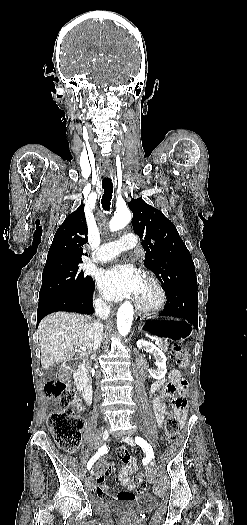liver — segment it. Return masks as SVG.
<instances>
[{"label":"liver","instance_id":"6515ba94","mask_svg":"<svg viewBox=\"0 0 247 525\" xmlns=\"http://www.w3.org/2000/svg\"><path fill=\"white\" fill-rule=\"evenodd\" d=\"M95 325V319L78 313L58 311L44 317L38 327L42 369L47 371L54 363L88 357L93 349ZM76 347H86V351L75 357Z\"/></svg>","mask_w":247,"mask_h":525}]
</instances>
